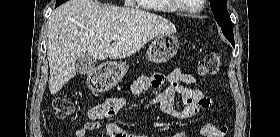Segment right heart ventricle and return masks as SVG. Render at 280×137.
Returning a JSON list of instances; mask_svg holds the SVG:
<instances>
[{
    "mask_svg": "<svg viewBox=\"0 0 280 137\" xmlns=\"http://www.w3.org/2000/svg\"><path fill=\"white\" fill-rule=\"evenodd\" d=\"M166 9L168 10L166 13H169V14L175 13V10L173 8H171V7H168Z\"/></svg>",
    "mask_w": 280,
    "mask_h": 137,
    "instance_id": "right-heart-ventricle-1",
    "label": "right heart ventricle"
}]
</instances>
